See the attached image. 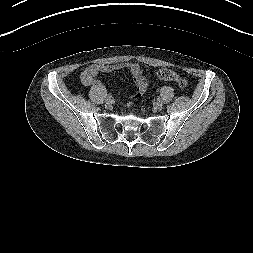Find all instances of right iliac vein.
<instances>
[{
    "label": "right iliac vein",
    "instance_id": "obj_1",
    "mask_svg": "<svg viewBox=\"0 0 253 253\" xmlns=\"http://www.w3.org/2000/svg\"><path fill=\"white\" fill-rule=\"evenodd\" d=\"M106 103H107L108 106H110L112 104V100L111 99H107Z\"/></svg>",
    "mask_w": 253,
    "mask_h": 253
}]
</instances>
